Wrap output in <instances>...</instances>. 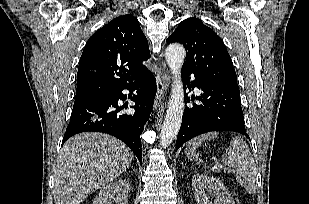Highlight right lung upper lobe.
<instances>
[{
	"instance_id": "right-lung-upper-lobe-1",
	"label": "right lung upper lobe",
	"mask_w": 309,
	"mask_h": 204,
	"mask_svg": "<svg viewBox=\"0 0 309 204\" xmlns=\"http://www.w3.org/2000/svg\"><path fill=\"white\" fill-rule=\"evenodd\" d=\"M148 42L138 20L119 16L87 41L79 62L75 102L87 100L137 80L148 72Z\"/></svg>"
}]
</instances>
